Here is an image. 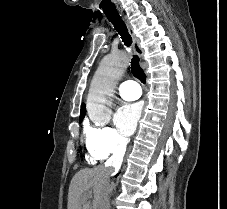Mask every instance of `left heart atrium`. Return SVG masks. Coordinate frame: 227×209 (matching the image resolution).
<instances>
[{"label":"left heart atrium","mask_w":227,"mask_h":209,"mask_svg":"<svg viewBox=\"0 0 227 209\" xmlns=\"http://www.w3.org/2000/svg\"><path fill=\"white\" fill-rule=\"evenodd\" d=\"M142 112V102H123L120 105L115 115V122L123 135L130 136L134 133Z\"/></svg>","instance_id":"39dd6f15"}]
</instances>
